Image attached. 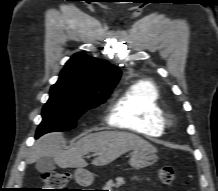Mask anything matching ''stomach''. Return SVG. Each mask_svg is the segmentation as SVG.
I'll list each match as a JSON object with an SVG mask.
<instances>
[{
	"mask_svg": "<svg viewBox=\"0 0 218 191\" xmlns=\"http://www.w3.org/2000/svg\"><path fill=\"white\" fill-rule=\"evenodd\" d=\"M158 157L154 151L136 149L131 153L130 165L135 169L145 168L153 165L157 161ZM75 180L82 186H89L94 181V174L83 170L77 169L75 172Z\"/></svg>",
	"mask_w": 218,
	"mask_h": 191,
	"instance_id": "obj_1",
	"label": "stomach"
}]
</instances>
